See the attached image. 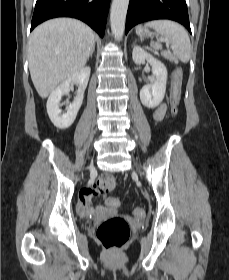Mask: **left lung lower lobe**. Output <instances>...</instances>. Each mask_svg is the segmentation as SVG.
I'll list each match as a JSON object with an SVG mask.
<instances>
[{
	"label": "left lung lower lobe",
	"instance_id": "obj_1",
	"mask_svg": "<svg viewBox=\"0 0 229 280\" xmlns=\"http://www.w3.org/2000/svg\"><path fill=\"white\" fill-rule=\"evenodd\" d=\"M156 19L177 21L191 33L185 0H130L126 18V34L133 26Z\"/></svg>",
	"mask_w": 229,
	"mask_h": 280
}]
</instances>
